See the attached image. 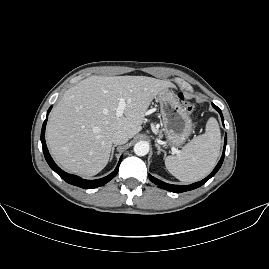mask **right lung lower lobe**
<instances>
[{"mask_svg": "<svg viewBox=\"0 0 269 269\" xmlns=\"http://www.w3.org/2000/svg\"><path fill=\"white\" fill-rule=\"evenodd\" d=\"M51 108H52V106L49 108L47 115L49 114ZM47 119H48V117L44 121L43 126H42V131H41V142H42L43 153H44L45 159H46L47 163L49 164V166L63 180H65L69 184H72V185H75V186H78V187H81L84 189H92V188L103 186L104 184H106L112 178H114L116 176V174L118 173V170H119V165H120V162L122 160V157L120 158V161H119L117 167L115 168V170L111 174H109L108 176L103 177L101 179H97V180H84L78 176L68 174V173L64 172L63 170H61L55 164L52 157L50 156L49 151H48L47 146H46V143H45V128H46Z\"/></svg>", "mask_w": 269, "mask_h": 269, "instance_id": "1", "label": "right lung lower lobe"}]
</instances>
